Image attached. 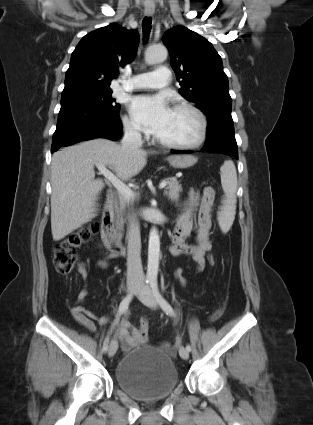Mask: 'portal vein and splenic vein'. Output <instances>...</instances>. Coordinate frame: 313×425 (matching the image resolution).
I'll use <instances>...</instances> for the list:
<instances>
[{
  "label": "portal vein and splenic vein",
  "instance_id": "obj_1",
  "mask_svg": "<svg viewBox=\"0 0 313 425\" xmlns=\"http://www.w3.org/2000/svg\"><path fill=\"white\" fill-rule=\"evenodd\" d=\"M96 167L101 174L118 190V192L128 199H135V194L127 185H125L118 177H116L109 169L103 164H96ZM167 185L166 181L159 184V188L163 189Z\"/></svg>",
  "mask_w": 313,
  "mask_h": 425
}]
</instances>
